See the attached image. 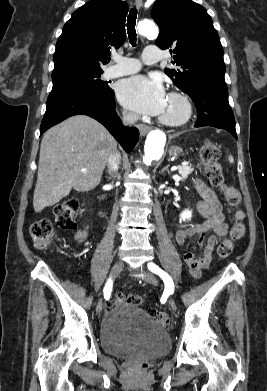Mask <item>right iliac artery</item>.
Masks as SVG:
<instances>
[{
    "mask_svg": "<svg viewBox=\"0 0 267 391\" xmlns=\"http://www.w3.org/2000/svg\"><path fill=\"white\" fill-rule=\"evenodd\" d=\"M111 289H112V281L108 280V282L104 288V293L109 294L111 292Z\"/></svg>",
    "mask_w": 267,
    "mask_h": 391,
    "instance_id": "1",
    "label": "right iliac artery"
}]
</instances>
